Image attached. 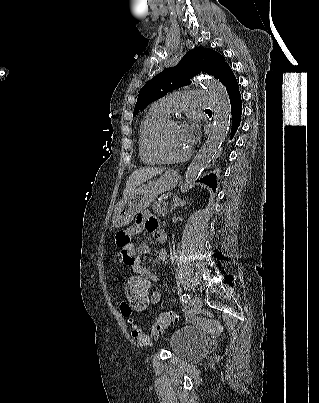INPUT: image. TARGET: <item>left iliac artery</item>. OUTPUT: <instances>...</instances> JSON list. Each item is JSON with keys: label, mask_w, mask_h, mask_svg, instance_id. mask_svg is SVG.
Segmentation results:
<instances>
[{"label": "left iliac artery", "mask_w": 319, "mask_h": 403, "mask_svg": "<svg viewBox=\"0 0 319 403\" xmlns=\"http://www.w3.org/2000/svg\"><path fill=\"white\" fill-rule=\"evenodd\" d=\"M190 301V296L187 293L182 295V302L187 304Z\"/></svg>", "instance_id": "obj_1"}]
</instances>
